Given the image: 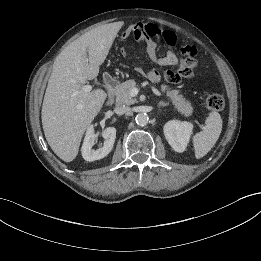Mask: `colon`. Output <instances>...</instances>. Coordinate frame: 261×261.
Listing matches in <instances>:
<instances>
[{
	"mask_svg": "<svg viewBox=\"0 0 261 261\" xmlns=\"http://www.w3.org/2000/svg\"><path fill=\"white\" fill-rule=\"evenodd\" d=\"M137 31L141 35L156 36L159 34L160 29L158 26H156V25L152 26L150 22L144 21L138 26ZM134 32H135V27L133 25H128L126 28H124L122 30L120 39L123 41H128L130 39L131 34H133ZM166 41L168 44L173 45L176 43L177 38L175 35L170 34L167 36ZM165 77L168 80H172V76L169 72L165 73ZM224 104H225L224 99L220 95H217V94L209 95L205 100V107L209 111H214V112L221 111L224 108Z\"/></svg>",
	"mask_w": 261,
	"mask_h": 261,
	"instance_id": "5ec220e1",
	"label": "colon"
}]
</instances>
